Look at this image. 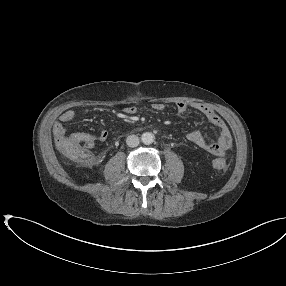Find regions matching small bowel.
Segmentation results:
<instances>
[{"mask_svg": "<svg viewBox=\"0 0 286 286\" xmlns=\"http://www.w3.org/2000/svg\"><path fill=\"white\" fill-rule=\"evenodd\" d=\"M189 108H192L201 114H203L214 126H216L220 135L217 141L211 142L206 139V137L199 131L193 130L187 135V139L198 146L199 148L210 152L215 155H224L227 150L232 146V136L231 132L225 123L209 106L194 102L188 104L186 102H178L175 105V110L178 114H184L188 111ZM152 109L157 112H161L165 109V105L160 102L152 104ZM124 112L128 115H134L137 112L135 106H128L124 108ZM76 113L74 110L68 109L65 110L59 117V122H56L53 125V135L57 139L61 135L66 134V129L63 123H70L75 119ZM75 135L81 136L83 138L84 146L88 149H92L97 142H103L108 138V132L102 130L96 134H90L85 132H77Z\"/></svg>", "mask_w": 286, "mask_h": 286, "instance_id": "c3829d8e", "label": "small bowel"}]
</instances>
